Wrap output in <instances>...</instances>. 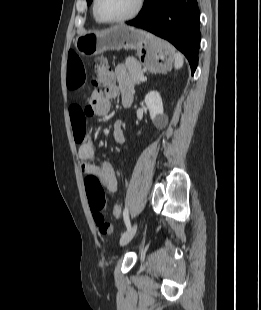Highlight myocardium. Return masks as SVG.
Listing matches in <instances>:
<instances>
[{"mask_svg":"<svg viewBox=\"0 0 261 310\" xmlns=\"http://www.w3.org/2000/svg\"><path fill=\"white\" fill-rule=\"evenodd\" d=\"M98 1L99 0H93V14L101 23H105V24L124 23V22L134 19L140 13L143 7V3H144V0H136L134 9L128 15L120 17V18L108 19V18L103 17L98 12Z\"/></svg>","mask_w":261,"mask_h":310,"instance_id":"1","label":"myocardium"}]
</instances>
